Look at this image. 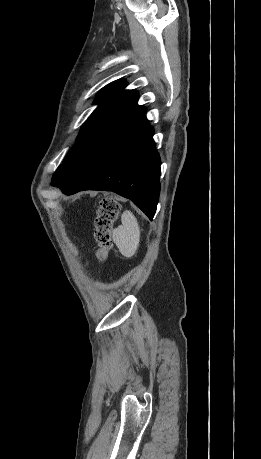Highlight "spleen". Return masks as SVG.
<instances>
[{
    "instance_id": "obj_1",
    "label": "spleen",
    "mask_w": 261,
    "mask_h": 459,
    "mask_svg": "<svg viewBox=\"0 0 261 459\" xmlns=\"http://www.w3.org/2000/svg\"><path fill=\"white\" fill-rule=\"evenodd\" d=\"M122 225L113 230L112 238L120 253L131 258L136 254L140 243V228L134 214L126 210L121 216Z\"/></svg>"
}]
</instances>
